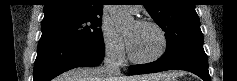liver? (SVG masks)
<instances>
[{
	"instance_id": "liver-1",
	"label": "liver",
	"mask_w": 237,
	"mask_h": 81,
	"mask_svg": "<svg viewBox=\"0 0 237 81\" xmlns=\"http://www.w3.org/2000/svg\"><path fill=\"white\" fill-rule=\"evenodd\" d=\"M157 78L156 75H137L130 77L119 75L110 78L104 75L103 66H97L72 69L58 77L57 81H152Z\"/></svg>"
}]
</instances>
